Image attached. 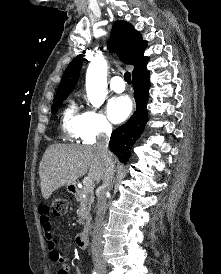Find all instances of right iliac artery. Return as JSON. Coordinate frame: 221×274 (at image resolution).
Here are the masks:
<instances>
[{
    "label": "right iliac artery",
    "mask_w": 221,
    "mask_h": 274,
    "mask_svg": "<svg viewBox=\"0 0 221 274\" xmlns=\"http://www.w3.org/2000/svg\"><path fill=\"white\" fill-rule=\"evenodd\" d=\"M93 274H97L96 271H94Z\"/></svg>",
    "instance_id": "right-iliac-artery-1"
}]
</instances>
